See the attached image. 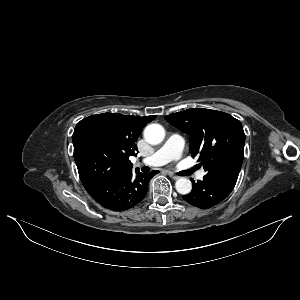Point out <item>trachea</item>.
<instances>
[{"mask_svg":"<svg viewBox=\"0 0 300 300\" xmlns=\"http://www.w3.org/2000/svg\"><path fill=\"white\" fill-rule=\"evenodd\" d=\"M198 168L195 166V167H193V168H191V169H189V170H187V171H184V172H181V173H179V175H184V176H186V175H190V174H192L195 170H197ZM143 171L144 172H149L150 171V168L149 167H147V166H144L143 167Z\"/></svg>","mask_w":300,"mask_h":300,"instance_id":"obj_1","label":"trachea"}]
</instances>
